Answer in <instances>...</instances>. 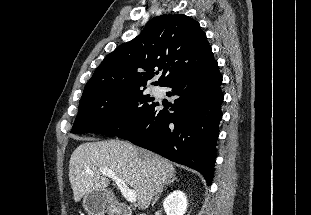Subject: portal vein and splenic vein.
<instances>
[{"label":"portal vein and splenic vein","mask_w":311,"mask_h":215,"mask_svg":"<svg viewBox=\"0 0 311 215\" xmlns=\"http://www.w3.org/2000/svg\"><path fill=\"white\" fill-rule=\"evenodd\" d=\"M101 173L103 176H107L115 182V184L121 191L122 195L128 202H131V203L136 202L137 200L136 192L130 189L123 180H121L118 176L114 174V172H112L109 169H103L101 170Z\"/></svg>","instance_id":"18ae733b"}]
</instances>
